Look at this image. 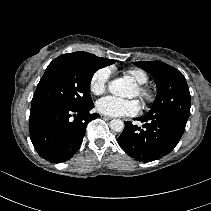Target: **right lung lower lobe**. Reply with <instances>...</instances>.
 Returning <instances> with one entry per match:
<instances>
[{"label":"right lung lower lobe","instance_id":"98d812e1","mask_svg":"<svg viewBox=\"0 0 211 211\" xmlns=\"http://www.w3.org/2000/svg\"><path fill=\"white\" fill-rule=\"evenodd\" d=\"M93 106L92 103L81 109L56 105L31 107L30 138L38 154L52 163L70 159L83 141L87 123L99 116L90 113Z\"/></svg>","mask_w":211,"mask_h":211}]
</instances>
